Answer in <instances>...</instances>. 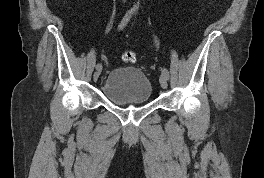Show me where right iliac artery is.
Here are the masks:
<instances>
[{"mask_svg": "<svg viewBox=\"0 0 264 178\" xmlns=\"http://www.w3.org/2000/svg\"><path fill=\"white\" fill-rule=\"evenodd\" d=\"M131 16H132V11H129V12L126 13V15L124 16V18L122 19L121 23L118 26L119 30L123 29L126 26L128 21L130 20ZM96 69L97 70H102V64L98 63L96 65Z\"/></svg>", "mask_w": 264, "mask_h": 178, "instance_id": "obj_1", "label": "right iliac artery"}]
</instances>
